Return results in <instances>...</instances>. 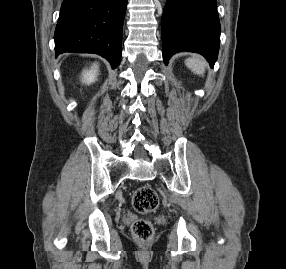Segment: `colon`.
<instances>
[{
  "mask_svg": "<svg viewBox=\"0 0 286 269\" xmlns=\"http://www.w3.org/2000/svg\"><path fill=\"white\" fill-rule=\"evenodd\" d=\"M132 205L139 213H149L158 208L159 198L151 187L141 186L133 193ZM132 234L136 240L145 242L153 237L154 229L149 221L140 219L133 223Z\"/></svg>",
  "mask_w": 286,
  "mask_h": 269,
  "instance_id": "colon-1",
  "label": "colon"
}]
</instances>
